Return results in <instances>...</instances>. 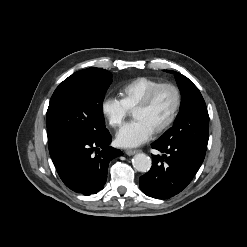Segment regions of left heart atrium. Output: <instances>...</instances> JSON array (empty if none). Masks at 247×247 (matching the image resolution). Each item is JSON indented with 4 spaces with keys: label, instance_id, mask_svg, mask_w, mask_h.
Here are the masks:
<instances>
[{
    "label": "left heart atrium",
    "instance_id": "left-heart-atrium-1",
    "mask_svg": "<svg viewBox=\"0 0 247 247\" xmlns=\"http://www.w3.org/2000/svg\"><path fill=\"white\" fill-rule=\"evenodd\" d=\"M154 130L143 120L124 124L116 134V142L121 147H136L147 142L153 135Z\"/></svg>",
    "mask_w": 247,
    "mask_h": 247
}]
</instances>
